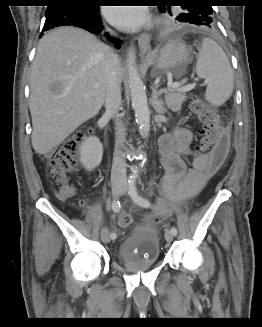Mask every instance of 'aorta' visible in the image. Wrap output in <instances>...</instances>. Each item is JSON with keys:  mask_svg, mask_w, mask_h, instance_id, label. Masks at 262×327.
I'll return each instance as SVG.
<instances>
[{"mask_svg": "<svg viewBox=\"0 0 262 327\" xmlns=\"http://www.w3.org/2000/svg\"><path fill=\"white\" fill-rule=\"evenodd\" d=\"M136 52L133 47L128 50L127 68L129 77V87L131 92L132 107L135 112L136 122L140 128L142 136L147 137L150 131V111L147 102V95L144 84L137 72ZM137 170H133L132 177L137 176Z\"/></svg>", "mask_w": 262, "mask_h": 327, "instance_id": "obj_1", "label": "aorta"}]
</instances>
